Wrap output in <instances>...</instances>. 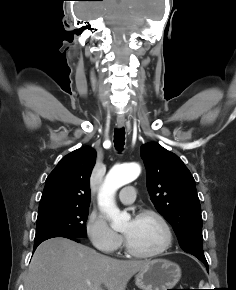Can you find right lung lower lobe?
Returning a JSON list of instances; mask_svg holds the SVG:
<instances>
[{"label":"right lung lower lobe","mask_w":236,"mask_h":290,"mask_svg":"<svg viewBox=\"0 0 236 290\" xmlns=\"http://www.w3.org/2000/svg\"><path fill=\"white\" fill-rule=\"evenodd\" d=\"M71 240H74V241H77L78 242V239H71ZM41 242H38V243H34V250L37 248V246L40 244Z\"/></svg>","instance_id":"obj_1"}]
</instances>
